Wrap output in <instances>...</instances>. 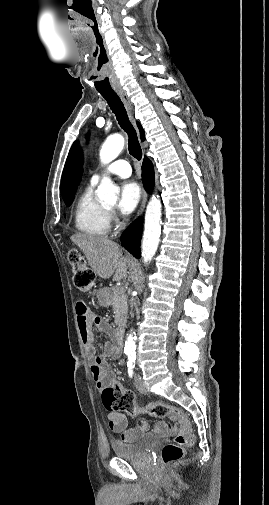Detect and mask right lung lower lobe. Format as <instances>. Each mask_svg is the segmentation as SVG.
Wrapping results in <instances>:
<instances>
[{
	"label": "right lung lower lobe",
	"mask_w": 269,
	"mask_h": 505,
	"mask_svg": "<svg viewBox=\"0 0 269 505\" xmlns=\"http://www.w3.org/2000/svg\"><path fill=\"white\" fill-rule=\"evenodd\" d=\"M142 180L144 187L148 191H152L155 182L153 164L147 157L144 158L142 164ZM142 235V219L135 220L122 234V245L136 258H140V243Z\"/></svg>",
	"instance_id": "obj_1"
}]
</instances>
